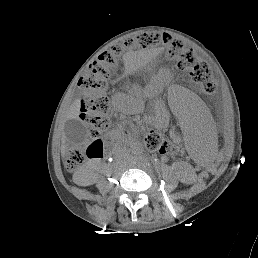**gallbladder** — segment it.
<instances>
[{
  "mask_svg": "<svg viewBox=\"0 0 258 258\" xmlns=\"http://www.w3.org/2000/svg\"><path fill=\"white\" fill-rule=\"evenodd\" d=\"M64 130L68 140L73 144H80L88 139V129L78 119L68 120Z\"/></svg>",
  "mask_w": 258,
  "mask_h": 258,
  "instance_id": "1",
  "label": "gallbladder"
}]
</instances>
